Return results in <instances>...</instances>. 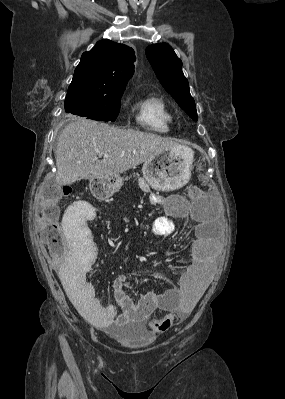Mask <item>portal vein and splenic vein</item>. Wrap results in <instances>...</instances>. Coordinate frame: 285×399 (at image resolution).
<instances>
[{
    "label": "portal vein and splenic vein",
    "instance_id": "portal-vein-and-splenic-vein-1",
    "mask_svg": "<svg viewBox=\"0 0 285 399\" xmlns=\"http://www.w3.org/2000/svg\"><path fill=\"white\" fill-rule=\"evenodd\" d=\"M104 157V158H108V155L107 154H99V157Z\"/></svg>",
    "mask_w": 285,
    "mask_h": 399
}]
</instances>
